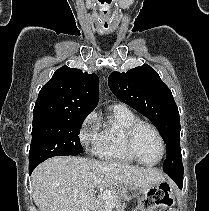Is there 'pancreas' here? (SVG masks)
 Wrapping results in <instances>:
<instances>
[{
    "label": "pancreas",
    "instance_id": "pancreas-1",
    "mask_svg": "<svg viewBox=\"0 0 209 211\" xmlns=\"http://www.w3.org/2000/svg\"><path fill=\"white\" fill-rule=\"evenodd\" d=\"M111 191L114 193V197H113L114 207L116 208L117 211H124V208L126 205H125L124 198L120 190L112 189ZM97 207H98L97 211H105L106 200H104L103 198L99 196L97 199Z\"/></svg>",
    "mask_w": 209,
    "mask_h": 211
}]
</instances>
